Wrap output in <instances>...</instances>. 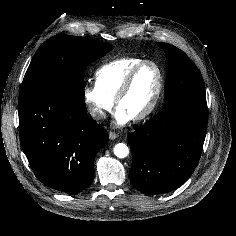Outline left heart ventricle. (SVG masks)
<instances>
[{
  "label": "left heart ventricle",
  "instance_id": "1",
  "mask_svg": "<svg viewBox=\"0 0 236 236\" xmlns=\"http://www.w3.org/2000/svg\"><path fill=\"white\" fill-rule=\"evenodd\" d=\"M158 72L152 65L144 66L136 75L132 86L120 101L118 108L131 118L142 113L153 100L158 87Z\"/></svg>",
  "mask_w": 236,
  "mask_h": 236
}]
</instances>
